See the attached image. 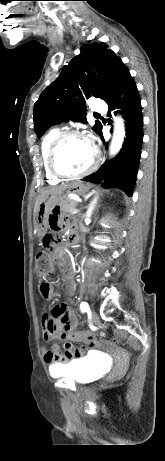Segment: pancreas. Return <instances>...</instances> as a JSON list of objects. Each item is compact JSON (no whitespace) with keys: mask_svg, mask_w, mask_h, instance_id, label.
Returning <instances> with one entry per match:
<instances>
[{"mask_svg":"<svg viewBox=\"0 0 165 461\" xmlns=\"http://www.w3.org/2000/svg\"><path fill=\"white\" fill-rule=\"evenodd\" d=\"M77 205L78 204H77V202L75 200H72V199H69V198H64L59 204L60 210L63 213H69L70 210L75 209Z\"/></svg>","mask_w":165,"mask_h":461,"instance_id":"obj_1","label":"pancreas"}]
</instances>
